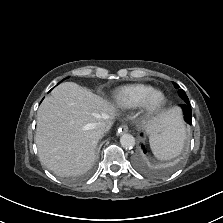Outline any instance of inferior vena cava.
I'll list each match as a JSON object with an SVG mask.
<instances>
[{
    "instance_id": "inferior-vena-cava-1",
    "label": "inferior vena cava",
    "mask_w": 223,
    "mask_h": 223,
    "mask_svg": "<svg viewBox=\"0 0 223 223\" xmlns=\"http://www.w3.org/2000/svg\"><path fill=\"white\" fill-rule=\"evenodd\" d=\"M108 129V124L106 122H98L96 125V130L99 135H103Z\"/></svg>"
}]
</instances>
